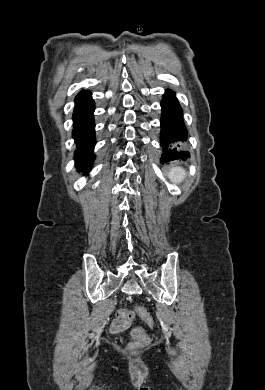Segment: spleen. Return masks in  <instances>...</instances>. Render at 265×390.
<instances>
[{
    "instance_id": "spleen-1",
    "label": "spleen",
    "mask_w": 265,
    "mask_h": 390,
    "mask_svg": "<svg viewBox=\"0 0 265 390\" xmlns=\"http://www.w3.org/2000/svg\"><path fill=\"white\" fill-rule=\"evenodd\" d=\"M186 176V172L181 167H173L168 173L169 179L174 183L181 182Z\"/></svg>"
}]
</instances>
